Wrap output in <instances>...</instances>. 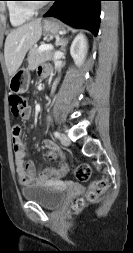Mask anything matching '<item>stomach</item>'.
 Listing matches in <instances>:
<instances>
[{
  "label": "stomach",
  "instance_id": "obj_1",
  "mask_svg": "<svg viewBox=\"0 0 133 253\" xmlns=\"http://www.w3.org/2000/svg\"><path fill=\"white\" fill-rule=\"evenodd\" d=\"M43 31L46 35H57L62 31V27L56 21L44 20ZM30 72L28 69H18L10 78L9 89L13 93H24L28 90Z\"/></svg>",
  "mask_w": 133,
  "mask_h": 253
}]
</instances>
